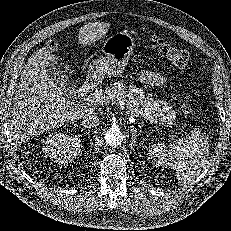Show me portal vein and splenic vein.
Here are the masks:
<instances>
[{
	"instance_id": "portal-vein-and-splenic-vein-1",
	"label": "portal vein and splenic vein",
	"mask_w": 231,
	"mask_h": 231,
	"mask_svg": "<svg viewBox=\"0 0 231 231\" xmlns=\"http://www.w3.org/2000/svg\"><path fill=\"white\" fill-rule=\"evenodd\" d=\"M86 101L91 105L103 104L105 102L104 97L100 95L88 96L86 98ZM143 117L150 119L152 122H157L155 119H153V117H150L148 115H144ZM129 121L133 123L135 122V119L133 117H130Z\"/></svg>"
}]
</instances>
